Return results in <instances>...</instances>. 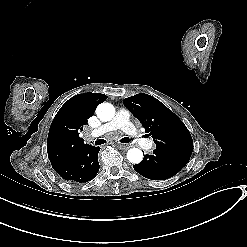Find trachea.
<instances>
[{
	"instance_id": "3493384b",
	"label": "trachea",
	"mask_w": 247,
	"mask_h": 247,
	"mask_svg": "<svg viewBox=\"0 0 247 247\" xmlns=\"http://www.w3.org/2000/svg\"><path fill=\"white\" fill-rule=\"evenodd\" d=\"M130 138L129 137H124V138H121L120 140H119V142L120 143H124V144H127V143H130ZM107 141L106 140H104V139H97L95 142H91V143H93V144H95V145H102V144H104V143H106Z\"/></svg>"
}]
</instances>
